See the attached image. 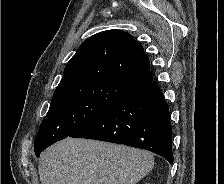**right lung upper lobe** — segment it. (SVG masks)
Wrapping results in <instances>:
<instances>
[{
    "mask_svg": "<svg viewBox=\"0 0 224 184\" xmlns=\"http://www.w3.org/2000/svg\"><path fill=\"white\" fill-rule=\"evenodd\" d=\"M150 62L133 36L120 30L85 40L67 63L54 95L88 81H109L130 88L153 80Z\"/></svg>",
    "mask_w": 224,
    "mask_h": 184,
    "instance_id": "right-lung-upper-lobe-1",
    "label": "right lung upper lobe"
}]
</instances>
